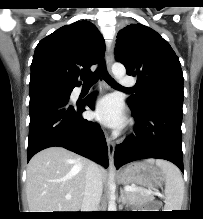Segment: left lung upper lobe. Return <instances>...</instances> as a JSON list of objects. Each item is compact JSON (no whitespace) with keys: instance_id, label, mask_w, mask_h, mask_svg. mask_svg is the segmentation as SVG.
I'll return each mask as SVG.
<instances>
[{"instance_id":"1","label":"left lung upper lobe","mask_w":203,"mask_h":219,"mask_svg":"<svg viewBox=\"0 0 203 219\" xmlns=\"http://www.w3.org/2000/svg\"><path fill=\"white\" fill-rule=\"evenodd\" d=\"M116 60L137 76L138 93L127 101L141 109L154 101L183 102V73L178 56L157 32L142 24L120 30Z\"/></svg>"}]
</instances>
